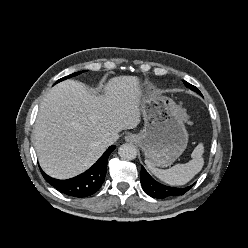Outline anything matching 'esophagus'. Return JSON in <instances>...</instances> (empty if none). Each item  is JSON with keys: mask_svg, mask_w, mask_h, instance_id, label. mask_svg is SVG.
I'll use <instances>...</instances> for the list:
<instances>
[{"mask_svg": "<svg viewBox=\"0 0 248 248\" xmlns=\"http://www.w3.org/2000/svg\"><path fill=\"white\" fill-rule=\"evenodd\" d=\"M135 140H136V138H135V136H134L133 134H127V135L125 136V141H126V142L132 143V142H134Z\"/></svg>", "mask_w": 248, "mask_h": 248, "instance_id": "esophagus-1", "label": "esophagus"}]
</instances>
